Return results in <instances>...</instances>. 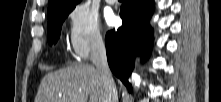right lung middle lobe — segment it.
<instances>
[{"label": "right lung middle lobe", "mask_w": 221, "mask_h": 102, "mask_svg": "<svg viewBox=\"0 0 221 102\" xmlns=\"http://www.w3.org/2000/svg\"><path fill=\"white\" fill-rule=\"evenodd\" d=\"M74 9L68 8L57 12L54 16L48 19L47 31H48V43L52 45L55 44L59 37L62 24L68 14Z\"/></svg>", "instance_id": "dd1d6c3e"}]
</instances>
